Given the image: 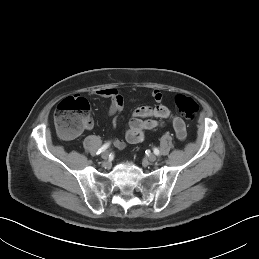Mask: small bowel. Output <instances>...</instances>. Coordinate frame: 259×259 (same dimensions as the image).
<instances>
[{"instance_id": "1", "label": "small bowel", "mask_w": 259, "mask_h": 259, "mask_svg": "<svg viewBox=\"0 0 259 259\" xmlns=\"http://www.w3.org/2000/svg\"><path fill=\"white\" fill-rule=\"evenodd\" d=\"M94 95L110 99V106L108 108V115L110 116L119 113L124 107V97L116 88L99 89L94 92ZM152 97L156 105L141 106L133 111L128 123L125 140L131 144L138 143L143 140L147 131L162 126L163 120L171 119L176 137L178 140L184 141L187 135L184 121L180 117L174 116L172 111L161 103L163 96L159 90H153ZM92 127L93 121L91 120L87 129ZM112 144L117 149L125 147V142L121 139L112 140Z\"/></svg>"}]
</instances>
